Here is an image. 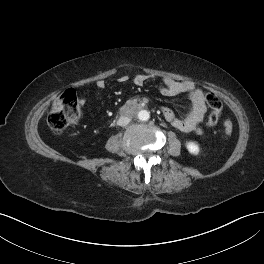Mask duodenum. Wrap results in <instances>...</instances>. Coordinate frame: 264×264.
I'll return each instance as SVG.
<instances>
[{"label": "duodenum", "mask_w": 264, "mask_h": 264, "mask_svg": "<svg viewBox=\"0 0 264 264\" xmlns=\"http://www.w3.org/2000/svg\"><path fill=\"white\" fill-rule=\"evenodd\" d=\"M144 106L142 105H137L134 109H128V108H124L122 110V116H124L125 118L129 117L135 110H139L142 109Z\"/></svg>", "instance_id": "410a0bca"}]
</instances>
